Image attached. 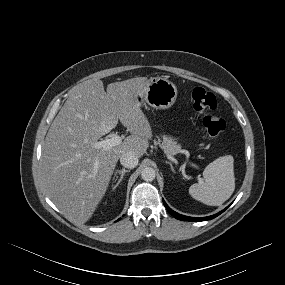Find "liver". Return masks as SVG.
<instances>
[{
  "label": "liver",
  "mask_w": 285,
  "mask_h": 285,
  "mask_svg": "<svg viewBox=\"0 0 285 285\" xmlns=\"http://www.w3.org/2000/svg\"><path fill=\"white\" fill-rule=\"evenodd\" d=\"M137 77L110 83L99 79L73 87L46 135L41 179L61 213L75 223L87 222L104 197L120 156H143L152 137L151 126L138 96L147 82ZM131 133L119 145L103 150L93 144L118 121Z\"/></svg>",
  "instance_id": "obj_1"
}]
</instances>
